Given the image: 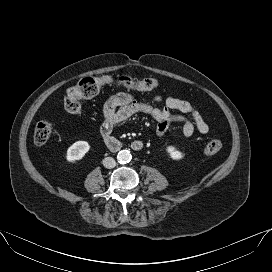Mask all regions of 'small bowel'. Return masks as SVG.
<instances>
[{
	"label": "small bowel",
	"instance_id": "obj_1",
	"mask_svg": "<svg viewBox=\"0 0 272 272\" xmlns=\"http://www.w3.org/2000/svg\"><path fill=\"white\" fill-rule=\"evenodd\" d=\"M153 101L163 103L164 107L139 102L128 93L112 96L103 108L104 121L100 129L102 137L111 135L116 125L140 113L149 115L156 121L157 136H163L172 122L182 123V132L186 137L192 136L195 130L201 134L209 131L208 124L190 102L160 95L154 96Z\"/></svg>",
	"mask_w": 272,
	"mask_h": 272
}]
</instances>
